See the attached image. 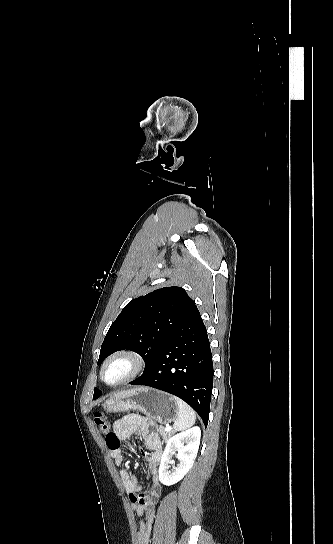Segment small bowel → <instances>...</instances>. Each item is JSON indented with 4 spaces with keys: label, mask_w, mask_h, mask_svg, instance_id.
<instances>
[{
    "label": "small bowel",
    "mask_w": 333,
    "mask_h": 544,
    "mask_svg": "<svg viewBox=\"0 0 333 544\" xmlns=\"http://www.w3.org/2000/svg\"><path fill=\"white\" fill-rule=\"evenodd\" d=\"M134 433L141 435L148 451L142 450L141 454L146 460V465L151 476L150 489L141 493L136 476L127 468L119 471L122 483L129 494L132 507L141 517L137 529V543L149 544L152 524L155 518V504L161 495L162 485L158 476V467L162 459V443L156 432V423L146 417L130 414L113 425V431L106 436V445L110 455L117 465L124 462L121 442L128 441Z\"/></svg>",
    "instance_id": "obj_1"
}]
</instances>
